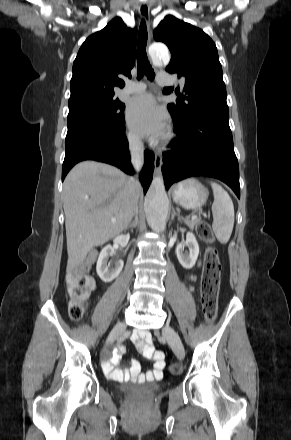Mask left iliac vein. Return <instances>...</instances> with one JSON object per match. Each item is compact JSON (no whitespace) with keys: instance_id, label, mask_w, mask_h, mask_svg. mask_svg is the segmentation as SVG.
<instances>
[{"instance_id":"4c4485c4","label":"left iliac vein","mask_w":291,"mask_h":440,"mask_svg":"<svg viewBox=\"0 0 291 440\" xmlns=\"http://www.w3.org/2000/svg\"><path fill=\"white\" fill-rule=\"evenodd\" d=\"M162 334L164 338L167 340L168 344L176 354V356L182 360L184 358L185 352L182 342L180 340L179 335L176 331L170 326H165L163 328Z\"/></svg>"}]
</instances>
